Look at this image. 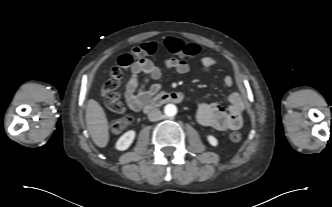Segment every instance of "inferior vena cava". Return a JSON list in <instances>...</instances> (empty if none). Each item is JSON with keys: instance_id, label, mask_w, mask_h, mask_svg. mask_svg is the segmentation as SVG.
I'll return each mask as SVG.
<instances>
[{"instance_id": "obj_1", "label": "inferior vena cava", "mask_w": 332, "mask_h": 207, "mask_svg": "<svg viewBox=\"0 0 332 207\" xmlns=\"http://www.w3.org/2000/svg\"><path fill=\"white\" fill-rule=\"evenodd\" d=\"M148 119L150 121H158L162 119V113L159 109H153L148 113Z\"/></svg>"}]
</instances>
